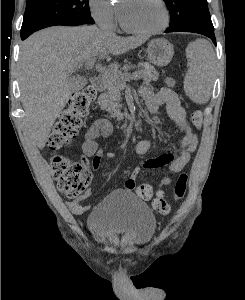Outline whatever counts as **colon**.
<instances>
[{"instance_id": "colon-1", "label": "colon", "mask_w": 245, "mask_h": 300, "mask_svg": "<svg viewBox=\"0 0 245 300\" xmlns=\"http://www.w3.org/2000/svg\"><path fill=\"white\" fill-rule=\"evenodd\" d=\"M96 91L92 86L75 93L67 107L60 113L53 131L49 137L48 145L54 151L51 157L53 176L62 194L68 198H77L90 181V175L84 164L71 159L67 155L57 151L68 145L77 135L82 125V118L86 116L91 102L95 99ZM192 122L200 127L203 122V114L196 110L192 113ZM188 184V176L180 174L176 180L173 196L175 200L184 197ZM137 195L143 200H150L153 196V188L149 184H141L137 188ZM153 208L161 215H167L171 207L161 196L153 201Z\"/></svg>"}]
</instances>
